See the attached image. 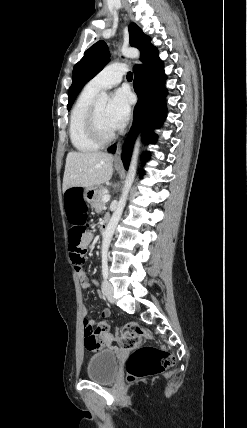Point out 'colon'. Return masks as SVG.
<instances>
[{
	"instance_id": "obj_1",
	"label": "colon",
	"mask_w": 247,
	"mask_h": 428,
	"mask_svg": "<svg viewBox=\"0 0 247 428\" xmlns=\"http://www.w3.org/2000/svg\"><path fill=\"white\" fill-rule=\"evenodd\" d=\"M63 207L64 217H67L69 226H73L69 233L70 249L78 263L82 265L84 251L79 248V244L85 232V226H90L91 219L87 217L88 212L85 200L82 199L81 190L78 188L68 189L65 192ZM84 304L88 305L89 301L85 300ZM111 314L112 311L109 308L100 310L99 315L104 320L97 326L96 330L92 329L88 318L82 319L84 344L88 350L98 351L108 345L104 333H108L111 327L105 323V320H109ZM149 337V332L134 322L126 324L121 330L118 340L119 346L133 350L126 364L130 381L160 374L175 364V357L168 349L143 345Z\"/></svg>"
}]
</instances>
